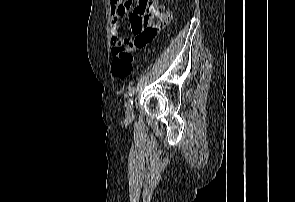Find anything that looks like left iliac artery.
<instances>
[{"label":"left iliac artery","instance_id":"1","mask_svg":"<svg viewBox=\"0 0 295 202\" xmlns=\"http://www.w3.org/2000/svg\"><path fill=\"white\" fill-rule=\"evenodd\" d=\"M135 90L136 88L134 86L129 89V92H128L129 97H131L134 94Z\"/></svg>","mask_w":295,"mask_h":202}]
</instances>
